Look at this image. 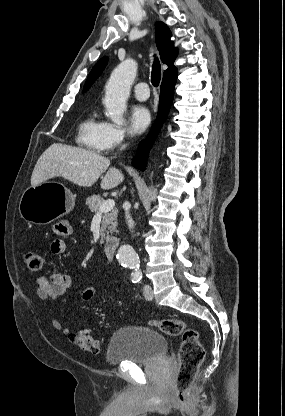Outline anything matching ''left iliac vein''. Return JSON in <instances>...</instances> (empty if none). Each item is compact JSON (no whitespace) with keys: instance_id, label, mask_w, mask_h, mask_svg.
I'll return each instance as SVG.
<instances>
[{"instance_id":"4c4485c4","label":"left iliac vein","mask_w":285,"mask_h":416,"mask_svg":"<svg viewBox=\"0 0 285 416\" xmlns=\"http://www.w3.org/2000/svg\"><path fill=\"white\" fill-rule=\"evenodd\" d=\"M144 296H145V298L146 299H148V300H152V298H153V292H152V289H151V287L149 286V285H145L144 286Z\"/></svg>"}]
</instances>
